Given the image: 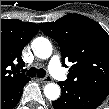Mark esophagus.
Here are the masks:
<instances>
[{"mask_svg": "<svg viewBox=\"0 0 109 109\" xmlns=\"http://www.w3.org/2000/svg\"><path fill=\"white\" fill-rule=\"evenodd\" d=\"M41 82L46 84L49 82H52V77L50 75L45 76L44 78L41 79Z\"/></svg>", "mask_w": 109, "mask_h": 109, "instance_id": "obj_1", "label": "esophagus"}]
</instances>
